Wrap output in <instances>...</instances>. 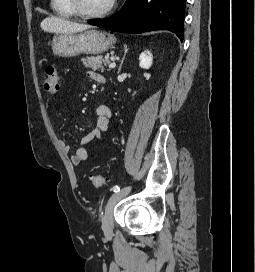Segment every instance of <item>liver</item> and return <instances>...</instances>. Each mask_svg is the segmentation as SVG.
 Listing matches in <instances>:
<instances>
[{
  "mask_svg": "<svg viewBox=\"0 0 255 272\" xmlns=\"http://www.w3.org/2000/svg\"><path fill=\"white\" fill-rule=\"evenodd\" d=\"M40 27L49 33L72 34L89 29L91 26L75 23L62 17L49 16L41 22Z\"/></svg>",
  "mask_w": 255,
  "mask_h": 272,
  "instance_id": "liver-1",
  "label": "liver"
}]
</instances>
